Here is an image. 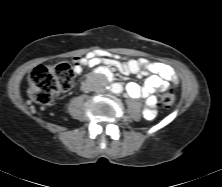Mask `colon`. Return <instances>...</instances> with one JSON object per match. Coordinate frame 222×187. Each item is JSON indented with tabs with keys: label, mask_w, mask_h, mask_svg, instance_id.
<instances>
[{
	"label": "colon",
	"mask_w": 222,
	"mask_h": 187,
	"mask_svg": "<svg viewBox=\"0 0 222 187\" xmlns=\"http://www.w3.org/2000/svg\"><path fill=\"white\" fill-rule=\"evenodd\" d=\"M74 81L73 66L63 63L56 66L38 65L29 74V97L39 105L47 106L53 103L57 94L70 89ZM160 105L171 107L175 95L166 91L161 94Z\"/></svg>",
	"instance_id": "colon-1"
}]
</instances>
